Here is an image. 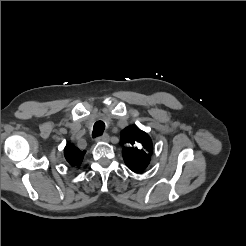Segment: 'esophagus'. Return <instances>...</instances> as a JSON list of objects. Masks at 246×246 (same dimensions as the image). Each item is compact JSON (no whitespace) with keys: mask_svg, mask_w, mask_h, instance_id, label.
I'll return each mask as SVG.
<instances>
[{"mask_svg":"<svg viewBox=\"0 0 246 246\" xmlns=\"http://www.w3.org/2000/svg\"><path fill=\"white\" fill-rule=\"evenodd\" d=\"M96 141L97 142H107V141H109V135L103 134L102 136L97 137Z\"/></svg>","mask_w":246,"mask_h":246,"instance_id":"1","label":"esophagus"}]
</instances>
